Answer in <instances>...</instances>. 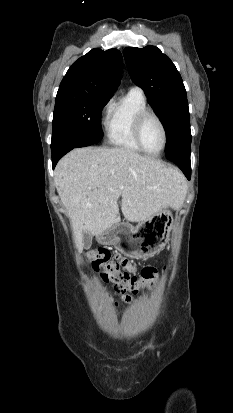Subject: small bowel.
Masks as SVG:
<instances>
[{
	"mask_svg": "<svg viewBox=\"0 0 233 413\" xmlns=\"http://www.w3.org/2000/svg\"><path fill=\"white\" fill-rule=\"evenodd\" d=\"M116 259L119 261V264L122 265V268L124 269L126 273H130L131 275L137 274V269L133 268V266L129 263L130 258L128 255L118 254L116 256ZM109 299L115 301L116 305L118 304V301L115 299L114 296H109ZM121 299L125 302H129L131 300V296L123 294L121 296Z\"/></svg>",
	"mask_w": 233,
	"mask_h": 413,
	"instance_id": "small-bowel-1",
	"label": "small bowel"
}]
</instances>
